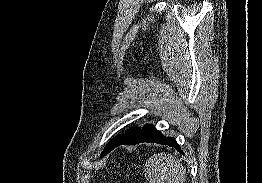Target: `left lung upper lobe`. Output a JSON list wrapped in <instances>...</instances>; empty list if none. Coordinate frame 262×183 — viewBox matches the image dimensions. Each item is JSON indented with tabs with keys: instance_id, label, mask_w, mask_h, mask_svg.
Wrapping results in <instances>:
<instances>
[{
	"instance_id": "obj_1",
	"label": "left lung upper lobe",
	"mask_w": 262,
	"mask_h": 183,
	"mask_svg": "<svg viewBox=\"0 0 262 183\" xmlns=\"http://www.w3.org/2000/svg\"><path fill=\"white\" fill-rule=\"evenodd\" d=\"M139 130V128H131L126 132V135H117L116 137H114L112 140H110V142L106 145V147L104 148V151L101 153V156H104L106 154V152L108 151L109 147L113 144V142H115L116 140H119L121 138H126L129 136H132L133 134H135L137 131Z\"/></svg>"
}]
</instances>
